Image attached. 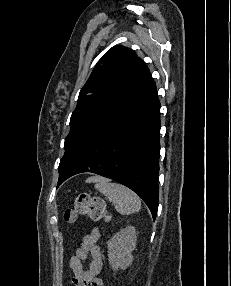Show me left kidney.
Returning a JSON list of instances; mask_svg holds the SVG:
<instances>
[{
	"instance_id": "obj_1",
	"label": "left kidney",
	"mask_w": 231,
	"mask_h": 286,
	"mask_svg": "<svg viewBox=\"0 0 231 286\" xmlns=\"http://www.w3.org/2000/svg\"><path fill=\"white\" fill-rule=\"evenodd\" d=\"M135 227L127 226L117 232L107 243L109 263L114 271L126 269L133 262L132 251L136 247Z\"/></svg>"
}]
</instances>
